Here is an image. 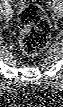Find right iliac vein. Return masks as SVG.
I'll return each mask as SVG.
<instances>
[{"instance_id":"right-iliac-vein-1","label":"right iliac vein","mask_w":63,"mask_h":107,"mask_svg":"<svg viewBox=\"0 0 63 107\" xmlns=\"http://www.w3.org/2000/svg\"><path fill=\"white\" fill-rule=\"evenodd\" d=\"M1 15H5L7 19H10L12 17V12H7L6 9H2Z\"/></svg>"}]
</instances>
